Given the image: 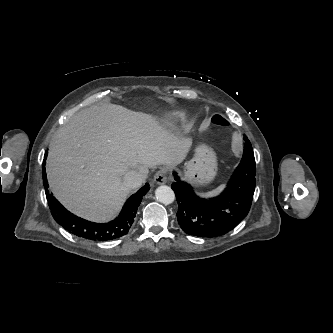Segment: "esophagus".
<instances>
[{
    "instance_id": "obj_1",
    "label": "esophagus",
    "mask_w": 333,
    "mask_h": 333,
    "mask_svg": "<svg viewBox=\"0 0 333 333\" xmlns=\"http://www.w3.org/2000/svg\"><path fill=\"white\" fill-rule=\"evenodd\" d=\"M166 175H167V173L165 170H160L155 174L154 181L157 184H164V183H166V180H167Z\"/></svg>"
}]
</instances>
